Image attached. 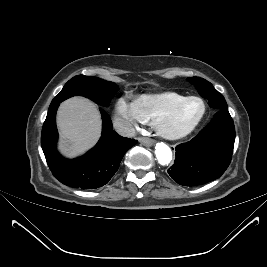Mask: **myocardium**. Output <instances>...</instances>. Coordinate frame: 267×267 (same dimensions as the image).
Instances as JSON below:
<instances>
[{"mask_svg": "<svg viewBox=\"0 0 267 267\" xmlns=\"http://www.w3.org/2000/svg\"><path fill=\"white\" fill-rule=\"evenodd\" d=\"M190 100H199L202 103V112L200 116L193 122L189 127L181 130V131H172L167 127V124L174 118V116L180 111V109ZM207 112V105L205 101L199 96H187L179 103H177L174 107H172L169 111L161 115L154 123V126L157 132L164 138L168 140H179L190 133H192L202 122Z\"/></svg>", "mask_w": 267, "mask_h": 267, "instance_id": "myocardium-1", "label": "myocardium"}]
</instances>
